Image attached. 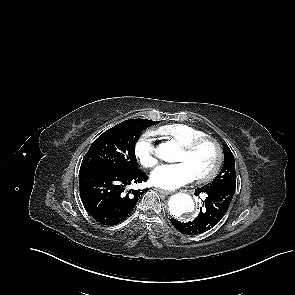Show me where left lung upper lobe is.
Masks as SVG:
<instances>
[{
    "label": "left lung upper lobe",
    "mask_w": 295,
    "mask_h": 295,
    "mask_svg": "<svg viewBox=\"0 0 295 295\" xmlns=\"http://www.w3.org/2000/svg\"><path fill=\"white\" fill-rule=\"evenodd\" d=\"M224 165L216 178L206 186H232L236 187V172L234 156L230 148L225 144L224 148Z\"/></svg>",
    "instance_id": "left-lung-upper-lobe-1"
}]
</instances>
